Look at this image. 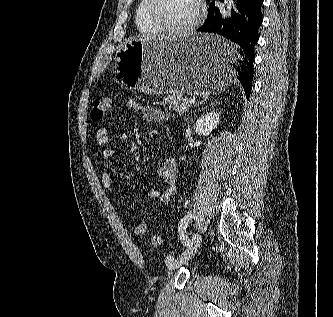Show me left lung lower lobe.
I'll return each instance as SVG.
<instances>
[{
  "label": "left lung lower lobe",
  "mask_w": 333,
  "mask_h": 317,
  "mask_svg": "<svg viewBox=\"0 0 333 317\" xmlns=\"http://www.w3.org/2000/svg\"><path fill=\"white\" fill-rule=\"evenodd\" d=\"M262 4L263 0H233L225 9H219L212 2L205 22L198 28L200 32L222 35L242 48L239 54H234L231 48H222L219 55L234 68V76L242 84L247 98L252 87L254 47L259 40L258 30L263 22Z\"/></svg>",
  "instance_id": "0a47b994"
}]
</instances>
